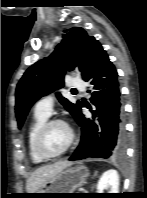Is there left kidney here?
Instances as JSON below:
<instances>
[{
	"instance_id": "1",
	"label": "left kidney",
	"mask_w": 147,
	"mask_h": 198,
	"mask_svg": "<svg viewBox=\"0 0 147 198\" xmlns=\"http://www.w3.org/2000/svg\"><path fill=\"white\" fill-rule=\"evenodd\" d=\"M105 189L109 190L108 193H119V175L116 170L110 169L100 177L97 190L103 193Z\"/></svg>"
}]
</instances>
